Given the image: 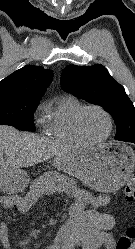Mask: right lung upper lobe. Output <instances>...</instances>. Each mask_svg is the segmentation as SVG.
<instances>
[{
    "label": "right lung upper lobe",
    "mask_w": 135,
    "mask_h": 249,
    "mask_svg": "<svg viewBox=\"0 0 135 249\" xmlns=\"http://www.w3.org/2000/svg\"><path fill=\"white\" fill-rule=\"evenodd\" d=\"M53 79V72L41 66L27 65L0 82V95L39 100Z\"/></svg>",
    "instance_id": "1"
}]
</instances>
